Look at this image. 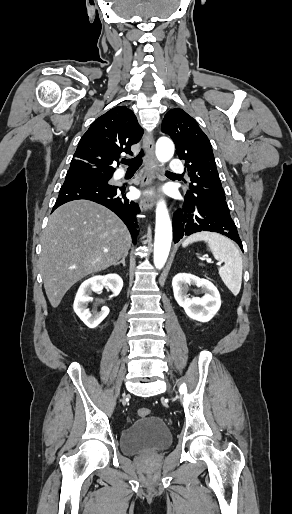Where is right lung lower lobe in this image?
<instances>
[{
	"label": "right lung lower lobe",
	"mask_w": 292,
	"mask_h": 514,
	"mask_svg": "<svg viewBox=\"0 0 292 514\" xmlns=\"http://www.w3.org/2000/svg\"><path fill=\"white\" fill-rule=\"evenodd\" d=\"M78 199L91 200L112 210L126 224L133 243H136V215L140 213V208L137 203L126 198V185L115 186L86 178L65 179L52 211L66 202Z\"/></svg>",
	"instance_id": "98d812e1"
}]
</instances>
